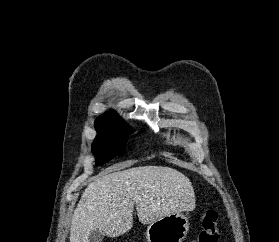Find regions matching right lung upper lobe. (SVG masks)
<instances>
[{"mask_svg":"<svg viewBox=\"0 0 279 242\" xmlns=\"http://www.w3.org/2000/svg\"><path fill=\"white\" fill-rule=\"evenodd\" d=\"M104 123L114 124L117 126H129L113 110L106 112L104 115L98 117L95 121L96 125Z\"/></svg>","mask_w":279,"mask_h":242,"instance_id":"obj_1","label":"right lung upper lobe"}]
</instances>
